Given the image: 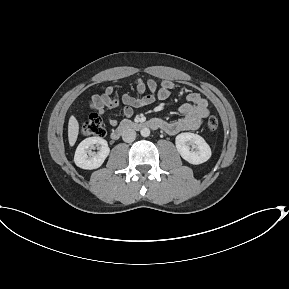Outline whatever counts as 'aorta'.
I'll list each match as a JSON object with an SVG mask.
<instances>
[{"label": "aorta", "instance_id": "obj_1", "mask_svg": "<svg viewBox=\"0 0 289 289\" xmlns=\"http://www.w3.org/2000/svg\"><path fill=\"white\" fill-rule=\"evenodd\" d=\"M140 134L143 137H148L150 135V129L147 128V127L142 128L141 131H140Z\"/></svg>", "mask_w": 289, "mask_h": 289}]
</instances>
